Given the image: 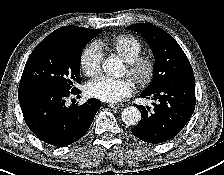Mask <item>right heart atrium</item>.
I'll return each instance as SVG.
<instances>
[{
    "instance_id": "1",
    "label": "right heart atrium",
    "mask_w": 224,
    "mask_h": 175,
    "mask_svg": "<svg viewBox=\"0 0 224 175\" xmlns=\"http://www.w3.org/2000/svg\"><path fill=\"white\" fill-rule=\"evenodd\" d=\"M102 48L97 43H91L83 50L80 65L84 73L88 76H95L101 70L103 61Z\"/></svg>"
}]
</instances>
